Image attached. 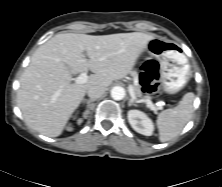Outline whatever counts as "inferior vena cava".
Here are the masks:
<instances>
[{
    "label": "inferior vena cava",
    "mask_w": 222,
    "mask_h": 187,
    "mask_svg": "<svg viewBox=\"0 0 222 187\" xmlns=\"http://www.w3.org/2000/svg\"><path fill=\"white\" fill-rule=\"evenodd\" d=\"M106 89L103 86H92L87 90L88 96L92 99L100 98L104 93Z\"/></svg>",
    "instance_id": "obj_1"
}]
</instances>
